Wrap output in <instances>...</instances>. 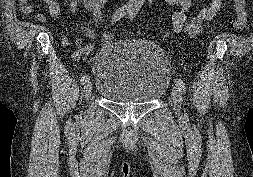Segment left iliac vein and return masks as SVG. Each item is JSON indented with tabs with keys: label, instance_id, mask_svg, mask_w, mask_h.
<instances>
[{
	"label": "left iliac vein",
	"instance_id": "left-iliac-vein-1",
	"mask_svg": "<svg viewBox=\"0 0 253 177\" xmlns=\"http://www.w3.org/2000/svg\"><path fill=\"white\" fill-rule=\"evenodd\" d=\"M171 96L174 101L176 110H177L178 114H180L181 113L182 98H181L178 87H173V89L171 91Z\"/></svg>",
	"mask_w": 253,
	"mask_h": 177
}]
</instances>
